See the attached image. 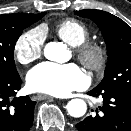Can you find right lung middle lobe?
I'll return each mask as SVG.
<instances>
[{
  "instance_id": "1",
  "label": "right lung middle lobe",
  "mask_w": 131,
  "mask_h": 131,
  "mask_svg": "<svg viewBox=\"0 0 131 131\" xmlns=\"http://www.w3.org/2000/svg\"><path fill=\"white\" fill-rule=\"evenodd\" d=\"M44 16L29 17L25 14L0 15V77L18 74L14 61V47L22 31Z\"/></svg>"
}]
</instances>
